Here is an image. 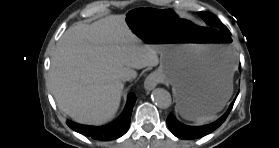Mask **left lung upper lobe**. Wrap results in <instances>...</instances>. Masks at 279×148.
<instances>
[{
    "instance_id": "left-lung-upper-lobe-1",
    "label": "left lung upper lobe",
    "mask_w": 279,
    "mask_h": 148,
    "mask_svg": "<svg viewBox=\"0 0 279 148\" xmlns=\"http://www.w3.org/2000/svg\"><path fill=\"white\" fill-rule=\"evenodd\" d=\"M199 15L206 21V23L215 28L222 29L226 32H229V30L226 28L225 25H222L221 22L218 20V18L209 12H199Z\"/></svg>"
}]
</instances>
